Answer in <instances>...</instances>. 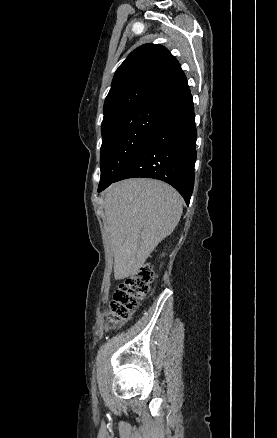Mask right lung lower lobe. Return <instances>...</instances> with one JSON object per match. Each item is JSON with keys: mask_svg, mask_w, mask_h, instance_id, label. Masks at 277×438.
<instances>
[{"mask_svg": "<svg viewBox=\"0 0 277 438\" xmlns=\"http://www.w3.org/2000/svg\"><path fill=\"white\" fill-rule=\"evenodd\" d=\"M196 137L189 93L167 108L143 146L113 181L99 185L98 192L126 178H155L172 185L189 205L194 187Z\"/></svg>", "mask_w": 277, "mask_h": 438, "instance_id": "98d812e1", "label": "right lung lower lobe"}]
</instances>
